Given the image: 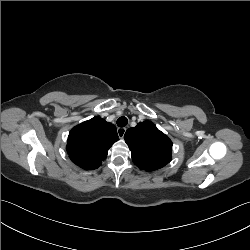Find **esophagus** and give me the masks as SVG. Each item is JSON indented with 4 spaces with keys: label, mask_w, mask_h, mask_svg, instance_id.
Listing matches in <instances>:
<instances>
[{
    "label": "esophagus",
    "mask_w": 250,
    "mask_h": 250,
    "mask_svg": "<svg viewBox=\"0 0 250 250\" xmlns=\"http://www.w3.org/2000/svg\"><path fill=\"white\" fill-rule=\"evenodd\" d=\"M125 132H126V128H125V127H119V128L117 129V133H118V136H119L120 138H123V137H124Z\"/></svg>",
    "instance_id": "1"
}]
</instances>
